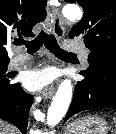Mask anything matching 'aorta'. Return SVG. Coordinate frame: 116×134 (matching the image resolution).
I'll list each match as a JSON object with an SVG mask.
<instances>
[{
    "mask_svg": "<svg viewBox=\"0 0 116 134\" xmlns=\"http://www.w3.org/2000/svg\"><path fill=\"white\" fill-rule=\"evenodd\" d=\"M63 15L70 21H77L82 18V11L79 6L70 4L63 8ZM72 98L71 80L65 79L61 82L53 97L52 103L47 112V124L55 126L65 116Z\"/></svg>",
    "mask_w": 116,
    "mask_h": 134,
    "instance_id": "1",
    "label": "aorta"
}]
</instances>
